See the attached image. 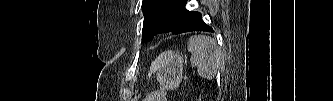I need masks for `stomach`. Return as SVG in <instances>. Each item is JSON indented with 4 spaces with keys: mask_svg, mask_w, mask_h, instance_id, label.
Returning <instances> with one entry per match:
<instances>
[{
    "mask_svg": "<svg viewBox=\"0 0 333 101\" xmlns=\"http://www.w3.org/2000/svg\"><path fill=\"white\" fill-rule=\"evenodd\" d=\"M157 80L160 88L152 91L144 101H166V91L176 89L183 76V59L173 51L162 53L158 58Z\"/></svg>",
    "mask_w": 333,
    "mask_h": 101,
    "instance_id": "stomach-1",
    "label": "stomach"
}]
</instances>
